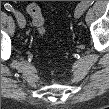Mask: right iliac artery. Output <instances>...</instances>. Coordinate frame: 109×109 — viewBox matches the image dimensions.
I'll use <instances>...</instances> for the list:
<instances>
[{"mask_svg":"<svg viewBox=\"0 0 109 109\" xmlns=\"http://www.w3.org/2000/svg\"><path fill=\"white\" fill-rule=\"evenodd\" d=\"M5 8L7 11L14 13L16 18L18 17V13H16L15 9L10 4H5Z\"/></svg>","mask_w":109,"mask_h":109,"instance_id":"right-iliac-artery-1","label":"right iliac artery"}]
</instances>
